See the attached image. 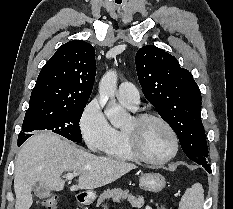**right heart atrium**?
Wrapping results in <instances>:
<instances>
[{"label": "right heart atrium", "mask_w": 233, "mask_h": 209, "mask_svg": "<svg viewBox=\"0 0 233 209\" xmlns=\"http://www.w3.org/2000/svg\"><path fill=\"white\" fill-rule=\"evenodd\" d=\"M79 127L90 150L102 151L113 141L115 129L108 122L97 98L84 107L80 115Z\"/></svg>", "instance_id": "d8ad5b80"}]
</instances>
